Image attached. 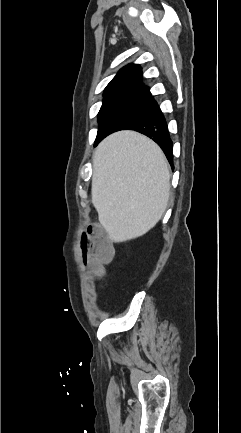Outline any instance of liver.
<instances>
[{"label": "liver", "instance_id": "1", "mask_svg": "<svg viewBox=\"0 0 241 433\" xmlns=\"http://www.w3.org/2000/svg\"><path fill=\"white\" fill-rule=\"evenodd\" d=\"M170 177L163 151L142 134L119 131L98 145L91 201L112 241L143 236L159 222L169 200Z\"/></svg>", "mask_w": 241, "mask_h": 433}]
</instances>
